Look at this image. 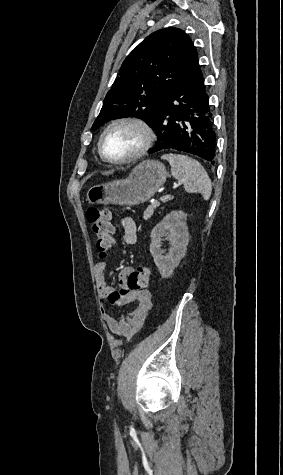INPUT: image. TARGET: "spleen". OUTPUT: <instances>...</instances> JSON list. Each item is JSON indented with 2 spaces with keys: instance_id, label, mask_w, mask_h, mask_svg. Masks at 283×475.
<instances>
[{
  "instance_id": "1",
  "label": "spleen",
  "mask_w": 283,
  "mask_h": 475,
  "mask_svg": "<svg viewBox=\"0 0 283 475\" xmlns=\"http://www.w3.org/2000/svg\"><path fill=\"white\" fill-rule=\"evenodd\" d=\"M162 160L169 162L173 178L182 182L188 194H202L204 200H209L212 192L211 180L197 160L180 154H165Z\"/></svg>"
}]
</instances>
